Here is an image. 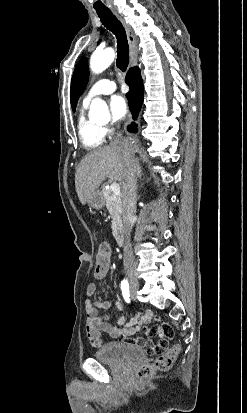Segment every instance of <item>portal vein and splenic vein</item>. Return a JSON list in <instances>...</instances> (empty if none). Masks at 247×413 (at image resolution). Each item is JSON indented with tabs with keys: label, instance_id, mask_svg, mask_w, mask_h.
Wrapping results in <instances>:
<instances>
[{
	"label": "portal vein and splenic vein",
	"instance_id": "18ae733b",
	"mask_svg": "<svg viewBox=\"0 0 247 413\" xmlns=\"http://www.w3.org/2000/svg\"><path fill=\"white\" fill-rule=\"evenodd\" d=\"M110 188L113 190L114 194H120V186L117 182H112Z\"/></svg>",
	"mask_w": 247,
	"mask_h": 413
}]
</instances>
